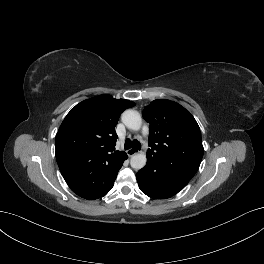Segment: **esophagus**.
Returning <instances> with one entry per match:
<instances>
[{"instance_id":"esophagus-1","label":"esophagus","mask_w":264,"mask_h":264,"mask_svg":"<svg viewBox=\"0 0 264 264\" xmlns=\"http://www.w3.org/2000/svg\"><path fill=\"white\" fill-rule=\"evenodd\" d=\"M138 153V150L137 149H135V148H130L129 150H127V154H128V156H133V155H135V154H137Z\"/></svg>"}]
</instances>
